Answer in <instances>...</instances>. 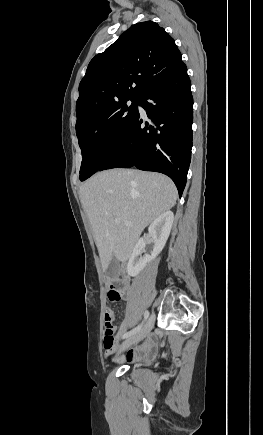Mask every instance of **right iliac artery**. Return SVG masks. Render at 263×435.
I'll return each mask as SVG.
<instances>
[{"label": "right iliac artery", "instance_id": "obj_1", "mask_svg": "<svg viewBox=\"0 0 263 435\" xmlns=\"http://www.w3.org/2000/svg\"><path fill=\"white\" fill-rule=\"evenodd\" d=\"M148 317H149V311H145L144 321L141 324H139L136 328L131 330L130 332H127L126 334H124L122 338L125 339V338H128V337L134 335L135 333H137L142 328L144 322L148 319Z\"/></svg>", "mask_w": 263, "mask_h": 435}]
</instances>
